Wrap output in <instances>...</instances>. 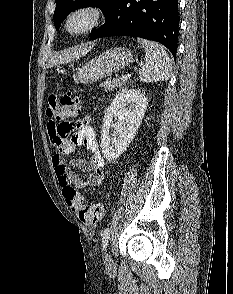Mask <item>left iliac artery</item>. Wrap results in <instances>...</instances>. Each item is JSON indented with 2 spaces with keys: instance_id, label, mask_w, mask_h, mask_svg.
<instances>
[{
  "instance_id": "left-iliac-artery-1",
  "label": "left iliac artery",
  "mask_w": 233,
  "mask_h": 294,
  "mask_svg": "<svg viewBox=\"0 0 233 294\" xmlns=\"http://www.w3.org/2000/svg\"><path fill=\"white\" fill-rule=\"evenodd\" d=\"M109 235H110V233H109V229L106 228V229L104 230L103 235H102V247H103L104 249H105V248L107 247V245H108Z\"/></svg>"
}]
</instances>
